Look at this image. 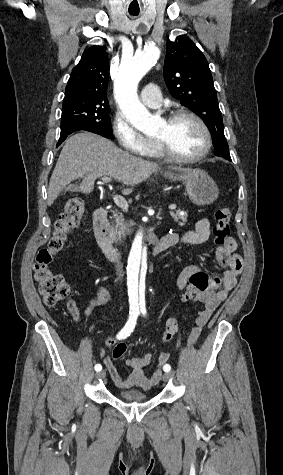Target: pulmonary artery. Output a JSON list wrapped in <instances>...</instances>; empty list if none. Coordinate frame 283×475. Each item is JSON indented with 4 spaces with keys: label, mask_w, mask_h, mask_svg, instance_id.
I'll return each mask as SVG.
<instances>
[{
    "label": "pulmonary artery",
    "mask_w": 283,
    "mask_h": 475,
    "mask_svg": "<svg viewBox=\"0 0 283 475\" xmlns=\"http://www.w3.org/2000/svg\"><path fill=\"white\" fill-rule=\"evenodd\" d=\"M114 90H137V89H114ZM162 89L156 87V84L150 83L145 85L140 90V99L141 101L153 108L161 106L162 103Z\"/></svg>",
    "instance_id": "pulmonary-artery-1"
}]
</instances>
